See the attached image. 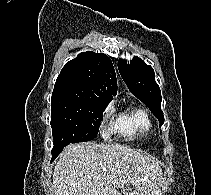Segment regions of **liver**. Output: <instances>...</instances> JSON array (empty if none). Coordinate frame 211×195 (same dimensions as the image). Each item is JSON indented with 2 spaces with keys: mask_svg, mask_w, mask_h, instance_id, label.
Listing matches in <instances>:
<instances>
[{
  "mask_svg": "<svg viewBox=\"0 0 211 195\" xmlns=\"http://www.w3.org/2000/svg\"><path fill=\"white\" fill-rule=\"evenodd\" d=\"M130 186H133V192ZM159 162L120 144L77 143L60 154L53 195H162Z\"/></svg>",
  "mask_w": 211,
  "mask_h": 195,
  "instance_id": "1",
  "label": "liver"
}]
</instances>
